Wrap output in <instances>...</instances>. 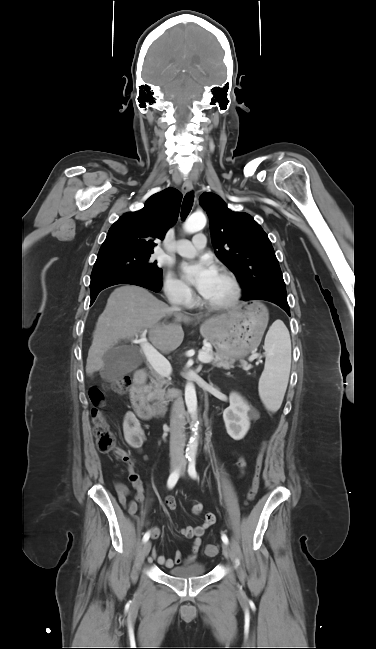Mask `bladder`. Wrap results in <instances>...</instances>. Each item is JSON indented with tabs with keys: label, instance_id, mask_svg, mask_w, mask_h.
I'll use <instances>...</instances> for the list:
<instances>
[{
	"label": "bladder",
	"instance_id": "bladder-1",
	"mask_svg": "<svg viewBox=\"0 0 376 649\" xmlns=\"http://www.w3.org/2000/svg\"><path fill=\"white\" fill-rule=\"evenodd\" d=\"M207 572V568L204 564L202 563H193L181 567H175L171 570H169V574L171 576L177 577V578H182V579H189V578H195V577H200L204 575Z\"/></svg>",
	"mask_w": 376,
	"mask_h": 649
}]
</instances>
